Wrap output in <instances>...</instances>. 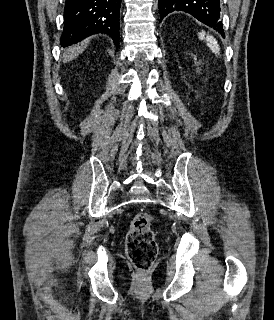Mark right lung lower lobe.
<instances>
[{
	"label": "right lung lower lobe",
	"mask_w": 274,
	"mask_h": 320,
	"mask_svg": "<svg viewBox=\"0 0 274 320\" xmlns=\"http://www.w3.org/2000/svg\"><path fill=\"white\" fill-rule=\"evenodd\" d=\"M120 4L121 0H66L61 46H70L97 33L108 34L117 46Z\"/></svg>",
	"instance_id": "obj_1"
}]
</instances>
